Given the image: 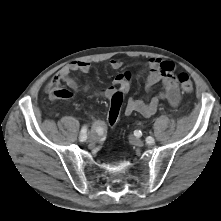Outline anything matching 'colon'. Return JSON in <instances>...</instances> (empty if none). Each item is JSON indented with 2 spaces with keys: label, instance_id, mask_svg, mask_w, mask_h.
I'll return each mask as SVG.
<instances>
[{
  "label": "colon",
  "instance_id": "1",
  "mask_svg": "<svg viewBox=\"0 0 221 221\" xmlns=\"http://www.w3.org/2000/svg\"><path fill=\"white\" fill-rule=\"evenodd\" d=\"M130 78V74L128 75ZM178 80L183 93L189 94L193 91V82L186 73H180L178 75ZM46 91L52 100L68 99L72 97V93L62 87H60L59 82L52 80L46 87ZM125 91L124 89L116 90L111 96V104L108 112L107 121L111 128H113L120 115V110L124 101Z\"/></svg>",
  "mask_w": 221,
  "mask_h": 221
}]
</instances>
